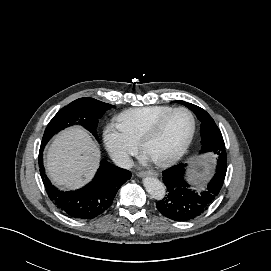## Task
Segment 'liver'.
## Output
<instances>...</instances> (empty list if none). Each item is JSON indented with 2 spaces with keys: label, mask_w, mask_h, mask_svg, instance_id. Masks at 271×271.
<instances>
[{
  "label": "liver",
  "mask_w": 271,
  "mask_h": 271,
  "mask_svg": "<svg viewBox=\"0 0 271 271\" xmlns=\"http://www.w3.org/2000/svg\"><path fill=\"white\" fill-rule=\"evenodd\" d=\"M100 149L84 130L69 128L48 149L47 172L62 188L76 189L90 181L99 167Z\"/></svg>",
  "instance_id": "6515ba94"
}]
</instances>
